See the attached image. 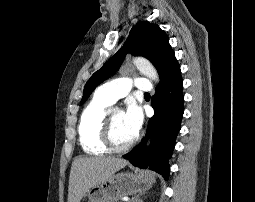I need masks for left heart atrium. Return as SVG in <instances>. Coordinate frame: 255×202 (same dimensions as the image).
I'll return each instance as SVG.
<instances>
[{
    "mask_svg": "<svg viewBox=\"0 0 255 202\" xmlns=\"http://www.w3.org/2000/svg\"><path fill=\"white\" fill-rule=\"evenodd\" d=\"M124 120L132 133L137 135L143 123L141 108L135 103H130L124 112Z\"/></svg>",
    "mask_w": 255,
    "mask_h": 202,
    "instance_id": "left-heart-atrium-1",
    "label": "left heart atrium"
}]
</instances>
